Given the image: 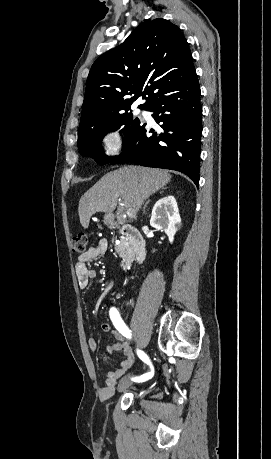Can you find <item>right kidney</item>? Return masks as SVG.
Instances as JSON below:
<instances>
[{"instance_id": "1", "label": "right kidney", "mask_w": 271, "mask_h": 459, "mask_svg": "<svg viewBox=\"0 0 271 459\" xmlns=\"http://www.w3.org/2000/svg\"><path fill=\"white\" fill-rule=\"evenodd\" d=\"M150 226L156 229H162L173 241L174 233L181 228V218L174 196H166L156 202L150 220Z\"/></svg>"}]
</instances>
